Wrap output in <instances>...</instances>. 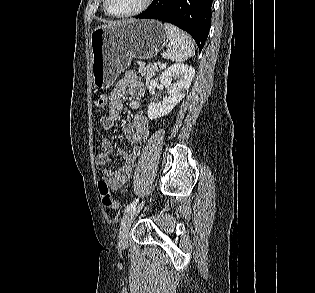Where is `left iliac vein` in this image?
Wrapping results in <instances>:
<instances>
[{
    "instance_id": "left-iliac-vein-1",
    "label": "left iliac vein",
    "mask_w": 315,
    "mask_h": 293,
    "mask_svg": "<svg viewBox=\"0 0 315 293\" xmlns=\"http://www.w3.org/2000/svg\"><path fill=\"white\" fill-rule=\"evenodd\" d=\"M143 203L138 205L137 207H134L130 211H128L121 220V225L119 229V242L120 245L125 248L127 246V238H128V231L130 228V225L135 218V216L139 213L140 209L142 208Z\"/></svg>"
}]
</instances>
